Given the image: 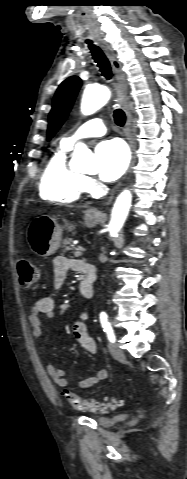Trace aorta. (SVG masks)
<instances>
[{
	"label": "aorta",
	"instance_id": "762f6f07",
	"mask_svg": "<svg viewBox=\"0 0 187 479\" xmlns=\"http://www.w3.org/2000/svg\"><path fill=\"white\" fill-rule=\"evenodd\" d=\"M110 90L105 86L86 87L82 101L81 112L83 115H90L103 107L110 99ZM73 159L77 162L79 170L94 174L100 171V161L95 158L84 143L75 146ZM132 194L125 189L117 197L111 213L109 231L112 237H117L123 227L131 207Z\"/></svg>",
	"mask_w": 187,
	"mask_h": 479
}]
</instances>
